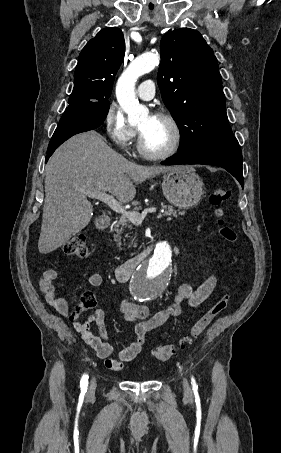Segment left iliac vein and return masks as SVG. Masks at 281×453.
<instances>
[{"label": "left iliac vein", "mask_w": 281, "mask_h": 453, "mask_svg": "<svg viewBox=\"0 0 281 453\" xmlns=\"http://www.w3.org/2000/svg\"><path fill=\"white\" fill-rule=\"evenodd\" d=\"M182 381H183L182 387H183L184 393L186 395H189L191 393L189 384H188V382H187V380L185 378Z\"/></svg>", "instance_id": "left-iliac-vein-1"}]
</instances>
